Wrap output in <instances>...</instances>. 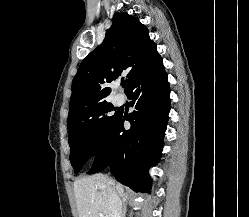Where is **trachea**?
Masks as SVG:
<instances>
[{"label": "trachea", "instance_id": "obj_1", "mask_svg": "<svg viewBox=\"0 0 249 217\" xmlns=\"http://www.w3.org/2000/svg\"><path fill=\"white\" fill-rule=\"evenodd\" d=\"M125 84H126V83H121V86H122V87H125Z\"/></svg>", "mask_w": 249, "mask_h": 217}]
</instances>
